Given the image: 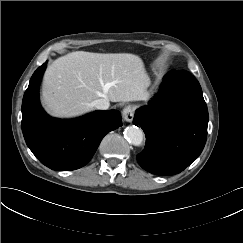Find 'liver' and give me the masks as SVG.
Returning <instances> with one entry per match:
<instances>
[{
    "label": "liver",
    "instance_id": "1",
    "mask_svg": "<svg viewBox=\"0 0 243 243\" xmlns=\"http://www.w3.org/2000/svg\"><path fill=\"white\" fill-rule=\"evenodd\" d=\"M146 78L144 63L137 55L75 51L48 66L42 102L52 116L77 117L92 111L100 98L112 102L144 99Z\"/></svg>",
    "mask_w": 243,
    "mask_h": 243
}]
</instances>
